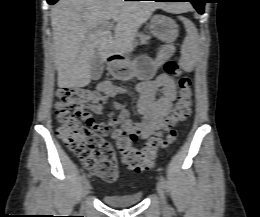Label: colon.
<instances>
[{
	"label": "colon",
	"mask_w": 260,
	"mask_h": 217,
	"mask_svg": "<svg viewBox=\"0 0 260 217\" xmlns=\"http://www.w3.org/2000/svg\"><path fill=\"white\" fill-rule=\"evenodd\" d=\"M166 74L181 76L179 96L166 118L165 137L154 136L143 148L131 145L129 137L120 134L114 145L108 139V127L95 123L86 109L102 107L106 96L91 89H62L58 92L56 117L59 123L57 135L81 161L83 167L104 181H114L119 162L136 172L150 170L159 149L168 147L177 137L175 126L184 121L192 108V80L182 76L177 62L165 64ZM120 155V160L118 159Z\"/></svg>",
	"instance_id": "1"
}]
</instances>
